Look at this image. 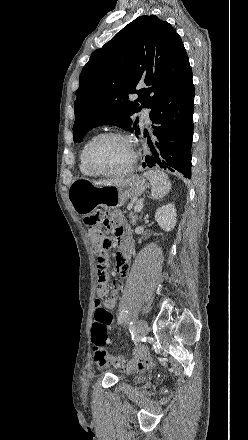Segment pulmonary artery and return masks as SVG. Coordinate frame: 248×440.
Here are the masks:
<instances>
[{
	"label": "pulmonary artery",
	"mask_w": 248,
	"mask_h": 440,
	"mask_svg": "<svg viewBox=\"0 0 248 440\" xmlns=\"http://www.w3.org/2000/svg\"><path fill=\"white\" fill-rule=\"evenodd\" d=\"M144 118L149 120V112L147 110L144 112Z\"/></svg>",
	"instance_id": "e3ab8cb5"
}]
</instances>
